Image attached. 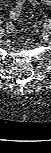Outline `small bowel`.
I'll return each instance as SVG.
<instances>
[{"label": "small bowel", "instance_id": "1", "mask_svg": "<svg viewBox=\"0 0 51 153\" xmlns=\"http://www.w3.org/2000/svg\"><path fill=\"white\" fill-rule=\"evenodd\" d=\"M29 1L33 5L50 4L51 0H15V6L10 12L11 18H17L24 4Z\"/></svg>", "mask_w": 51, "mask_h": 153}]
</instances>
